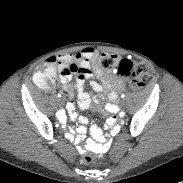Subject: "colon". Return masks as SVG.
I'll return each mask as SVG.
<instances>
[{"mask_svg":"<svg viewBox=\"0 0 183 183\" xmlns=\"http://www.w3.org/2000/svg\"><path fill=\"white\" fill-rule=\"evenodd\" d=\"M98 63L102 69L114 71L117 79L127 82L132 91L140 90L149 77V68L146 64L129 59H121L114 54L102 53ZM54 77L55 70L52 67L42 66L34 73L35 83L43 89L50 87ZM92 153V151H89L87 155L88 161L85 166L88 168L93 167L95 164Z\"/></svg>","mask_w":183,"mask_h":183,"instance_id":"1","label":"colon"}]
</instances>
